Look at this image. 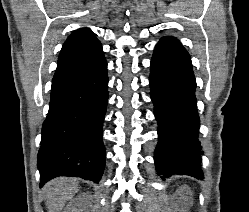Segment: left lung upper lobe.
Wrapping results in <instances>:
<instances>
[{"instance_id": "obj_1", "label": "left lung upper lobe", "mask_w": 249, "mask_h": 212, "mask_svg": "<svg viewBox=\"0 0 249 212\" xmlns=\"http://www.w3.org/2000/svg\"><path fill=\"white\" fill-rule=\"evenodd\" d=\"M161 41H172V42H175V43H177V44H180V43L178 42L177 39H173V38H170V37H163V38L161 39ZM180 45H181V44H180Z\"/></svg>"}]
</instances>
